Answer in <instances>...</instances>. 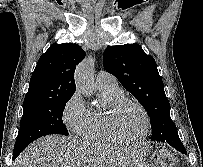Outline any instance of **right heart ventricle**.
<instances>
[{
	"label": "right heart ventricle",
	"mask_w": 203,
	"mask_h": 167,
	"mask_svg": "<svg viewBox=\"0 0 203 167\" xmlns=\"http://www.w3.org/2000/svg\"><path fill=\"white\" fill-rule=\"evenodd\" d=\"M101 96L103 98L104 109H88L86 122L80 132V136L88 141L113 142L105 133L103 128V115L109 106L111 100L122 94L118 86L100 87Z\"/></svg>",
	"instance_id": "right-heart-ventricle-1"
}]
</instances>
